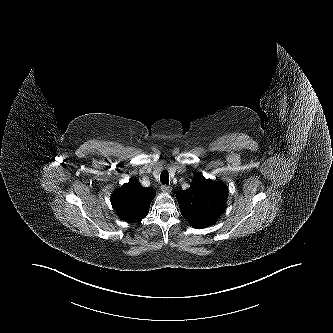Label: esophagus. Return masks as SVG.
Wrapping results in <instances>:
<instances>
[{
    "mask_svg": "<svg viewBox=\"0 0 333 333\" xmlns=\"http://www.w3.org/2000/svg\"><path fill=\"white\" fill-rule=\"evenodd\" d=\"M161 190H162L164 193H170L172 189H171L170 186H167V185L163 184V185L161 186Z\"/></svg>",
    "mask_w": 333,
    "mask_h": 333,
    "instance_id": "34e87169",
    "label": "esophagus"
}]
</instances>
